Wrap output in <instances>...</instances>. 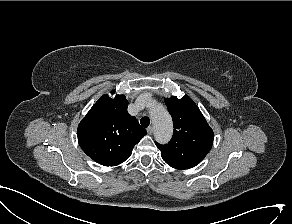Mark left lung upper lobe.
<instances>
[{
  "mask_svg": "<svg viewBox=\"0 0 292 224\" xmlns=\"http://www.w3.org/2000/svg\"><path fill=\"white\" fill-rule=\"evenodd\" d=\"M172 116L174 133L168 144L156 143L162 159L171 167L189 169L198 165L210 151L214 134L197 105L185 95L165 99Z\"/></svg>",
  "mask_w": 292,
  "mask_h": 224,
  "instance_id": "left-lung-upper-lobe-1",
  "label": "left lung upper lobe"
}]
</instances>
